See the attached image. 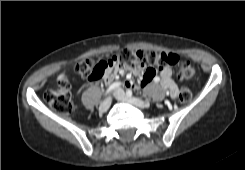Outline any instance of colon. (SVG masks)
<instances>
[{"label": "colon", "instance_id": "obj_1", "mask_svg": "<svg viewBox=\"0 0 245 170\" xmlns=\"http://www.w3.org/2000/svg\"><path fill=\"white\" fill-rule=\"evenodd\" d=\"M178 57L174 53L145 52L141 50L124 49L119 53L100 60L86 58L76 64V71L87 80H97L110 68L122 67L125 69H139L146 66L161 68L164 65H176ZM148 71V70H147ZM178 75L181 79L190 80L195 76V68L189 62L180 65ZM46 103L57 113L68 115L73 110L72 88L67 78L58 81L49 88L44 95ZM192 98L189 89L182 88L179 100L188 103Z\"/></svg>", "mask_w": 245, "mask_h": 170}]
</instances>
